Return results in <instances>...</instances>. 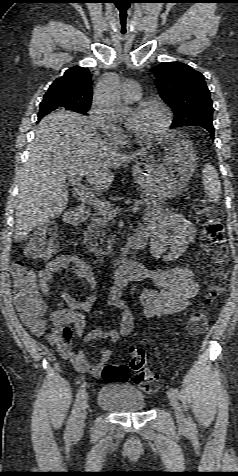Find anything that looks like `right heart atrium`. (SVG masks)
Returning <instances> with one entry per match:
<instances>
[{
  "label": "right heart atrium",
  "mask_w": 238,
  "mask_h": 476,
  "mask_svg": "<svg viewBox=\"0 0 238 476\" xmlns=\"http://www.w3.org/2000/svg\"><path fill=\"white\" fill-rule=\"evenodd\" d=\"M88 114L90 121L105 137L113 140H120L123 138V130L118 125L110 122L97 106L92 105Z\"/></svg>",
  "instance_id": "1"
}]
</instances>
